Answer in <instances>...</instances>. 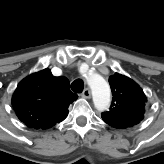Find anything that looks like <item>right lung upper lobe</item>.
I'll return each mask as SVG.
<instances>
[{"label":"right lung upper lobe","mask_w":164,"mask_h":164,"mask_svg":"<svg viewBox=\"0 0 164 164\" xmlns=\"http://www.w3.org/2000/svg\"><path fill=\"white\" fill-rule=\"evenodd\" d=\"M76 98L65 77H54L49 69H44L19 83L12 104L22 122L45 129L63 120Z\"/></svg>","instance_id":"cb5924a9"}]
</instances>
